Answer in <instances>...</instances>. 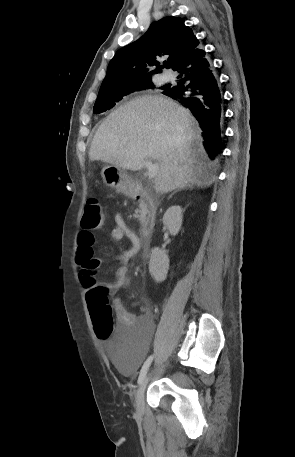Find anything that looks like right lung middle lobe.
I'll return each instance as SVG.
<instances>
[{
  "label": "right lung middle lobe",
  "mask_w": 295,
  "mask_h": 457,
  "mask_svg": "<svg viewBox=\"0 0 295 457\" xmlns=\"http://www.w3.org/2000/svg\"><path fill=\"white\" fill-rule=\"evenodd\" d=\"M167 86L161 87L165 89ZM152 80L142 81L136 85L122 86L113 90L99 91L98 98L95 102L93 112L102 113L116 105L124 96L141 89H156Z\"/></svg>",
  "instance_id": "dd1d6c3e"
}]
</instances>
